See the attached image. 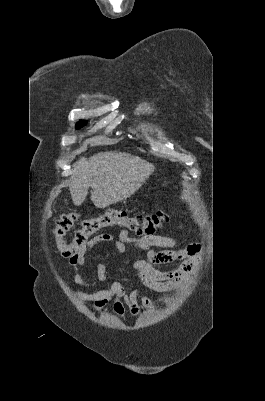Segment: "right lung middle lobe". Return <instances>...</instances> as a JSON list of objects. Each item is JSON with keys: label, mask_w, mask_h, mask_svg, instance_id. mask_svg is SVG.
Wrapping results in <instances>:
<instances>
[{"label": "right lung middle lobe", "mask_w": 265, "mask_h": 401, "mask_svg": "<svg viewBox=\"0 0 265 401\" xmlns=\"http://www.w3.org/2000/svg\"><path fill=\"white\" fill-rule=\"evenodd\" d=\"M86 124V121H79L76 125V128H80Z\"/></svg>", "instance_id": "1"}]
</instances>
